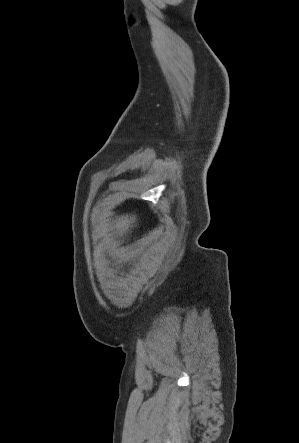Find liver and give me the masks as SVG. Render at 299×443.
<instances>
[{
	"label": "liver",
	"mask_w": 299,
	"mask_h": 443,
	"mask_svg": "<svg viewBox=\"0 0 299 443\" xmlns=\"http://www.w3.org/2000/svg\"><path fill=\"white\" fill-rule=\"evenodd\" d=\"M136 222V216L132 215H123L119 218L117 217L114 221L115 231L118 232L121 236L126 235L129 231V228L133 227V224Z\"/></svg>",
	"instance_id": "liver-1"
}]
</instances>
